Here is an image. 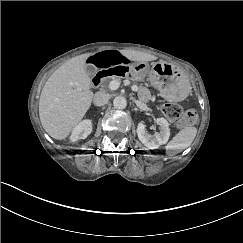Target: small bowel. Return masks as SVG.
Returning <instances> with one entry per match:
<instances>
[{
	"instance_id": "small-bowel-1",
	"label": "small bowel",
	"mask_w": 243,
	"mask_h": 243,
	"mask_svg": "<svg viewBox=\"0 0 243 243\" xmlns=\"http://www.w3.org/2000/svg\"><path fill=\"white\" fill-rule=\"evenodd\" d=\"M87 62L91 65L103 69H109L121 65H130L129 57L118 50H105L87 58Z\"/></svg>"
}]
</instances>
